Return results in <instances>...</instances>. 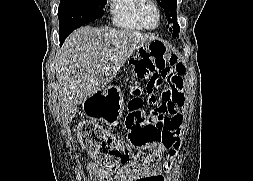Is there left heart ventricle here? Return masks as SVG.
I'll use <instances>...</instances> for the list:
<instances>
[{"mask_svg":"<svg viewBox=\"0 0 253 181\" xmlns=\"http://www.w3.org/2000/svg\"><path fill=\"white\" fill-rule=\"evenodd\" d=\"M145 19L149 26H155L157 23V15L152 7H148L145 11Z\"/></svg>","mask_w":253,"mask_h":181,"instance_id":"left-heart-ventricle-1","label":"left heart ventricle"}]
</instances>
